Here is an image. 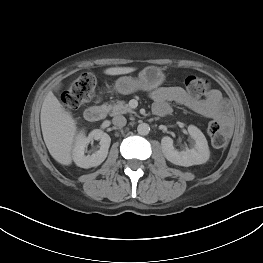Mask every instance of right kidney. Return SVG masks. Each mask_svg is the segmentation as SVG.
Listing matches in <instances>:
<instances>
[{"label":"right kidney","mask_w":263,"mask_h":263,"mask_svg":"<svg viewBox=\"0 0 263 263\" xmlns=\"http://www.w3.org/2000/svg\"><path fill=\"white\" fill-rule=\"evenodd\" d=\"M100 140V149L94 152L92 155H85V150L88 144L92 140ZM111 138L110 136L99 130H92L88 136H85V132L81 131L75 141L73 148V160L75 164L81 168H91L99 166L107 157L108 149L110 147Z\"/></svg>","instance_id":"right-kidney-1"}]
</instances>
